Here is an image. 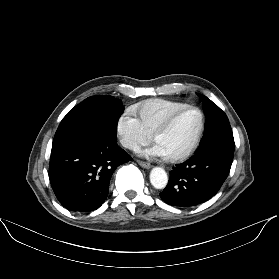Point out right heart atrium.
I'll use <instances>...</instances> for the list:
<instances>
[{"instance_id": "1", "label": "right heart atrium", "mask_w": 279, "mask_h": 279, "mask_svg": "<svg viewBox=\"0 0 279 279\" xmlns=\"http://www.w3.org/2000/svg\"><path fill=\"white\" fill-rule=\"evenodd\" d=\"M115 131L120 143L132 151H137L151 139V134L144 129L139 118L131 111H124L118 116Z\"/></svg>"}]
</instances>
